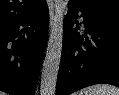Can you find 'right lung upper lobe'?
Returning a JSON list of instances; mask_svg holds the SVG:
<instances>
[{
	"label": "right lung upper lobe",
	"mask_w": 119,
	"mask_h": 95,
	"mask_svg": "<svg viewBox=\"0 0 119 95\" xmlns=\"http://www.w3.org/2000/svg\"><path fill=\"white\" fill-rule=\"evenodd\" d=\"M44 0H0V27L35 11Z\"/></svg>",
	"instance_id": "right-lung-upper-lobe-1"
}]
</instances>
